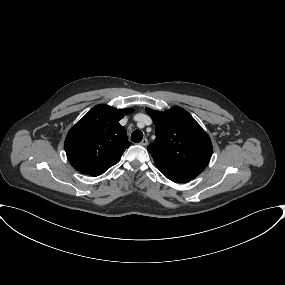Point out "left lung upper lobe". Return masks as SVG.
Returning a JSON list of instances; mask_svg holds the SVG:
<instances>
[{"label": "left lung upper lobe", "mask_w": 285, "mask_h": 285, "mask_svg": "<svg viewBox=\"0 0 285 285\" xmlns=\"http://www.w3.org/2000/svg\"><path fill=\"white\" fill-rule=\"evenodd\" d=\"M155 124L156 139L148 146L159 170L193 179L208 165L213 148L209 136L183 108L165 112L147 108Z\"/></svg>", "instance_id": "left-lung-upper-lobe-1"}]
</instances>
